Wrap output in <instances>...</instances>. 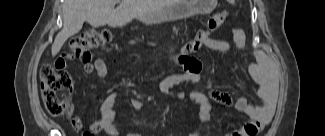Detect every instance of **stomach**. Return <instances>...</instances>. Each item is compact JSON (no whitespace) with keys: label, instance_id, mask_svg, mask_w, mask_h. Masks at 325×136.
Returning <instances> with one entry per match:
<instances>
[{"label":"stomach","instance_id":"stomach-1","mask_svg":"<svg viewBox=\"0 0 325 136\" xmlns=\"http://www.w3.org/2000/svg\"><path fill=\"white\" fill-rule=\"evenodd\" d=\"M216 4L217 0H176L174 5L140 19L148 23L175 21L195 14L210 13Z\"/></svg>","mask_w":325,"mask_h":136}]
</instances>
